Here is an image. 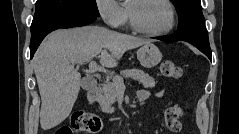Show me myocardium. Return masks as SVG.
Masks as SVG:
<instances>
[{"mask_svg":"<svg viewBox=\"0 0 239 134\" xmlns=\"http://www.w3.org/2000/svg\"><path fill=\"white\" fill-rule=\"evenodd\" d=\"M148 0H132V4L127 5V12H128V18H129V23L131 25V27L138 33L144 34V35H148V36H163L168 34L175 26L176 23V12L174 9L173 4L169 1V0H159L162 3H164L167 8L169 9L170 12V21L169 24L166 28L162 29V30H158V31H153V30H149L145 27H143L135 14V6L137 4H140L142 2H145Z\"/></svg>","mask_w":239,"mask_h":134,"instance_id":"f54148a6","label":"myocardium"}]
</instances>
